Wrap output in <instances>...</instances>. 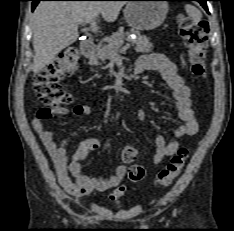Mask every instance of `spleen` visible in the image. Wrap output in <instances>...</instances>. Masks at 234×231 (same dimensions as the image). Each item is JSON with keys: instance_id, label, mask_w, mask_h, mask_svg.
<instances>
[{"instance_id": "spleen-1", "label": "spleen", "mask_w": 234, "mask_h": 231, "mask_svg": "<svg viewBox=\"0 0 234 231\" xmlns=\"http://www.w3.org/2000/svg\"><path fill=\"white\" fill-rule=\"evenodd\" d=\"M185 10H186V13L193 19L200 20L202 17L201 12L191 4H186Z\"/></svg>"}]
</instances>
